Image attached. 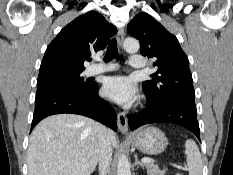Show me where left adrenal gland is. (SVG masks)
Listing matches in <instances>:
<instances>
[{
	"mask_svg": "<svg viewBox=\"0 0 233 175\" xmlns=\"http://www.w3.org/2000/svg\"><path fill=\"white\" fill-rule=\"evenodd\" d=\"M140 166L142 169H144V164L143 163H141L138 159H137V157H135V162H134V166Z\"/></svg>",
	"mask_w": 233,
	"mask_h": 175,
	"instance_id": "left-adrenal-gland-1",
	"label": "left adrenal gland"
}]
</instances>
